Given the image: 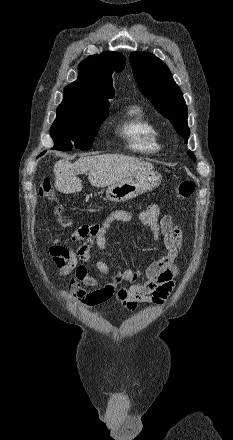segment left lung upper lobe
Listing matches in <instances>:
<instances>
[{"instance_id": "left-lung-upper-lobe-1", "label": "left lung upper lobe", "mask_w": 233, "mask_h": 440, "mask_svg": "<svg viewBox=\"0 0 233 440\" xmlns=\"http://www.w3.org/2000/svg\"><path fill=\"white\" fill-rule=\"evenodd\" d=\"M130 63L141 92L171 121L177 133L184 137L187 143L190 135L187 126V106L169 68L159 58L145 52L131 53ZM187 153L196 161L191 151Z\"/></svg>"}]
</instances>
